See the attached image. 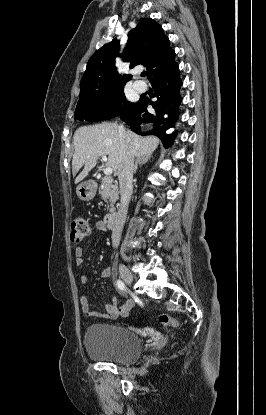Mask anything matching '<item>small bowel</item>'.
Segmentation results:
<instances>
[{
	"label": "small bowel",
	"mask_w": 266,
	"mask_h": 415,
	"mask_svg": "<svg viewBox=\"0 0 266 415\" xmlns=\"http://www.w3.org/2000/svg\"><path fill=\"white\" fill-rule=\"evenodd\" d=\"M95 228L97 230H103L104 225L102 222H97L95 224ZM75 262L78 266L82 265L84 262L83 259V249L81 247L75 248ZM110 275V268H105L101 276L103 278H106ZM82 284H88L90 282V279L86 275H82L81 278ZM80 305L83 313L87 317L92 318H102V319H116L119 316H127L133 306V301L129 299L123 306H118V301L116 298H113L110 303H107L105 305V311L104 312H97V311H91L89 300L86 296H82L80 298Z\"/></svg>",
	"instance_id": "obj_1"
}]
</instances>
